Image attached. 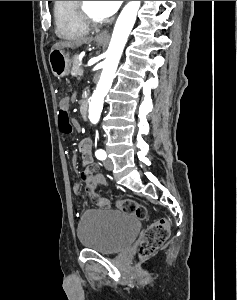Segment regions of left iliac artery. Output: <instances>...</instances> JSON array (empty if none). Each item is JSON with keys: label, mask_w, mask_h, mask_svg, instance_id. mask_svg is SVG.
<instances>
[{"label": "left iliac artery", "mask_w": 237, "mask_h": 300, "mask_svg": "<svg viewBox=\"0 0 237 300\" xmlns=\"http://www.w3.org/2000/svg\"><path fill=\"white\" fill-rule=\"evenodd\" d=\"M95 156L97 157V159L99 160H105L107 155L106 152L102 149H99L95 152Z\"/></svg>", "instance_id": "obj_1"}]
</instances>
